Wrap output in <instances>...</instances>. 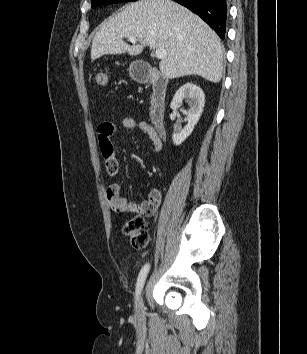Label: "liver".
<instances>
[{"instance_id": "1", "label": "liver", "mask_w": 307, "mask_h": 354, "mask_svg": "<svg viewBox=\"0 0 307 354\" xmlns=\"http://www.w3.org/2000/svg\"><path fill=\"white\" fill-rule=\"evenodd\" d=\"M136 37L128 45L123 38ZM164 48L159 69L169 79L199 75L222 78L224 49L218 35L197 15L171 0H139L107 21L95 34L91 60L103 55H139L144 47Z\"/></svg>"}]
</instances>
